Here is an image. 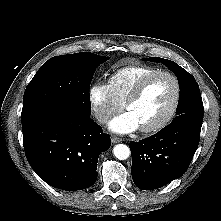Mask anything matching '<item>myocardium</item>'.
Wrapping results in <instances>:
<instances>
[{
    "mask_svg": "<svg viewBox=\"0 0 221 221\" xmlns=\"http://www.w3.org/2000/svg\"><path fill=\"white\" fill-rule=\"evenodd\" d=\"M161 75L168 76L173 81L174 88H175L174 98H173L172 104H171L168 112L165 114V116L161 120H159L158 122H156L155 124H152L150 126L140 127V130L143 133H153V132L159 131L162 128H164L165 126H167L169 124V122L172 120V118L174 117V115L178 109L180 98H181V84H180L179 79L177 78V76L175 74H173L169 71H165V70L154 71V72L144 76L143 78H141L139 80V82L135 85L133 90L130 92V94L127 96L125 101L123 102V107L127 110V107L141 96V94L143 93L147 84L153 78H155L157 76H161Z\"/></svg>",
    "mask_w": 221,
    "mask_h": 221,
    "instance_id": "obj_1",
    "label": "myocardium"
}]
</instances>
